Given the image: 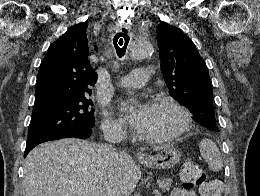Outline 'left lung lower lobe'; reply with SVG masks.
Masks as SVG:
<instances>
[{
    "mask_svg": "<svg viewBox=\"0 0 260 196\" xmlns=\"http://www.w3.org/2000/svg\"><path fill=\"white\" fill-rule=\"evenodd\" d=\"M193 119L203 126H208L215 122L214 109L211 106H204L192 112Z\"/></svg>",
    "mask_w": 260,
    "mask_h": 196,
    "instance_id": "left-lung-lower-lobe-1",
    "label": "left lung lower lobe"
}]
</instances>
